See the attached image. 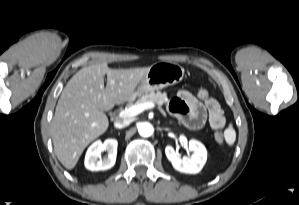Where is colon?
I'll use <instances>...</instances> for the list:
<instances>
[{
  "label": "colon",
  "instance_id": "colon-1",
  "mask_svg": "<svg viewBox=\"0 0 299 205\" xmlns=\"http://www.w3.org/2000/svg\"><path fill=\"white\" fill-rule=\"evenodd\" d=\"M198 97L200 99H207V98H209V93L205 89H200L198 91ZM214 138L218 143H223L225 140V137H224V134L222 131H216L214 134Z\"/></svg>",
  "mask_w": 299,
  "mask_h": 205
}]
</instances>
